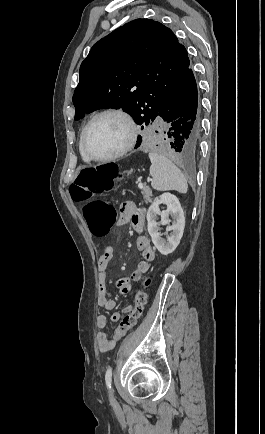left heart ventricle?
<instances>
[{"instance_id": "1", "label": "left heart ventricle", "mask_w": 265, "mask_h": 434, "mask_svg": "<svg viewBox=\"0 0 265 434\" xmlns=\"http://www.w3.org/2000/svg\"><path fill=\"white\" fill-rule=\"evenodd\" d=\"M128 136V125L122 117L106 115L92 126L86 139V150L94 157H107L123 148Z\"/></svg>"}]
</instances>
